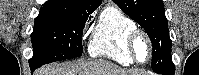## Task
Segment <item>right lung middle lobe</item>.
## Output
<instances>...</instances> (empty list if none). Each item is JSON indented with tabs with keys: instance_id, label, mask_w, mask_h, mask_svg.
<instances>
[{
	"instance_id": "obj_1",
	"label": "right lung middle lobe",
	"mask_w": 199,
	"mask_h": 75,
	"mask_svg": "<svg viewBox=\"0 0 199 75\" xmlns=\"http://www.w3.org/2000/svg\"><path fill=\"white\" fill-rule=\"evenodd\" d=\"M89 15L58 9H41L35 19L31 41L33 57L30 66L82 56L83 28Z\"/></svg>"
}]
</instances>
